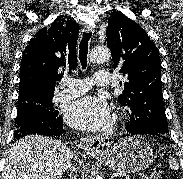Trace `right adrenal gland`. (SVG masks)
<instances>
[{
  "mask_svg": "<svg viewBox=\"0 0 183 179\" xmlns=\"http://www.w3.org/2000/svg\"><path fill=\"white\" fill-rule=\"evenodd\" d=\"M68 171H69L68 173L69 179H77V172L73 164L69 165Z\"/></svg>",
  "mask_w": 183,
  "mask_h": 179,
  "instance_id": "obj_1",
  "label": "right adrenal gland"
}]
</instances>
